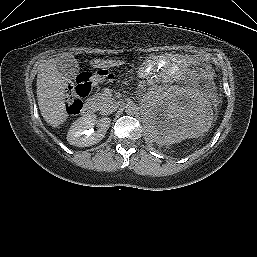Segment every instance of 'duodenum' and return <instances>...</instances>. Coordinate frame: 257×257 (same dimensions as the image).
I'll return each mask as SVG.
<instances>
[{
  "mask_svg": "<svg viewBox=\"0 0 257 257\" xmlns=\"http://www.w3.org/2000/svg\"><path fill=\"white\" fill-rule=\"evenodd\" d=\"M95 111H96V107H95L94 103L86 102L83 105V108H82L83 115H85V116H93L95 114Z\"/></svg>",
  "mask_w": 257,
  "mask_h": 257,
  "instance_id": "410a0bca",
  "label": "duodenum"
}]
</instances>
